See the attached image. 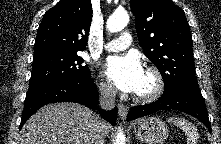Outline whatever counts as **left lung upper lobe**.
<instances>
[{
    "label": "left lung upper lobe",
    "instance_id": "5c2ea615",
    "mask_svg": "<svg viewBox=\"0 0 221 144\" xmlns=\"http://www.w3.org/2000/svg\"><path fill=\"white\" fill-rule=\"evenodd\" d=\"M138 40L164 80V93H201L192 54L190 26L184 11L172 0H130Z\"/></svg>",
    "mask_w": 221,
    "mask_h": 144
}]
</instances>
